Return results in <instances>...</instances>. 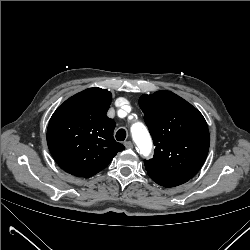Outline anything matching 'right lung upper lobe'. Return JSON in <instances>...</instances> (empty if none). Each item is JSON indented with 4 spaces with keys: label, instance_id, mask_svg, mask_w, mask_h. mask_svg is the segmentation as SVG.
<instances>
[{
    "label": "right lung upper lobe",
    "instance_id": "right-lung-upper-lobe-1",
    "mask_svg": "<svg viewBox=\"0 0 250 250\" xmlns=\"http://www.w3.org/2000/svg\"><path fill=\"white\" fill-rule=\"evenodd\" d=\"M111 96L106 89L89 88L67 99L52 115L48 147L67 173L89 178L125 149L114 140L115 122L106 116Z\"/></svg>",
    "mask_w": 250,
    "mask_h": 250
}]
</instances>
